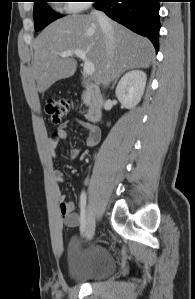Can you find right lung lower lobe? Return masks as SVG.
I'll list each match as a JSON object with an SVG mask.
<instances>
[{"mask_svg":"<svg viewBox=\"0 0 195 299\" xmlns=\"http://www.w3.org/2000/svg\"><path fill=\"white\" fill-rule=\"evenodd\" d=\"M95 8L132 31L148 37L158 51L160 0H94Z\"/></svg>","mask_w":195,"mask_h":299,"instance_id":"1","label":"right lung lower lobe"}]
</instances>
